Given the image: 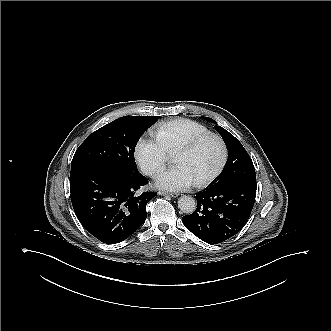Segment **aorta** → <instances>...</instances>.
I'll list each match as a JSON object with an SVG mask.
<instances>
[{
  "label": "aorta",
  "instance_id": "762f6f07",
  "mask_svg": "<svg viewBox=\"0 0 331 331\" xmlns=\"http://www.w3.org/2000/svg\"><path fill=\"white\" fill-rule=\"evenodd\" d=\"M197 203L189 195H182L178 199V208L185 214H192L196 209Z\"/></svg>",
  "mask_w": 331,
  "mask_h": 331
}]
</instances>
